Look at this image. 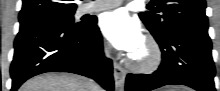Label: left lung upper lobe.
Listing matches in <instances>:
<instances>
[{
    "label": "left lung upper lobe",
    "instance_id": "5c2ea615",
    "mask_svg": "<svg viewBox=\"0 0 220 91\" xmlns=\"http://www.w3.org/2000/svg\"><path fill=\"white\" fill-rule=\"evenodd\" d=\"M154 12H141L139 17L157 40L165 39L178 29L208 30L205 0H152Z\"/></svg>",
    "mask_w": 220,
    "mask_h": 91
}]
</instances>
